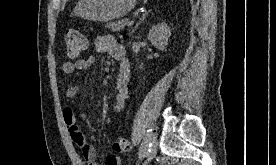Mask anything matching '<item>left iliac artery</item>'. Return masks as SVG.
Instances as JSON below:
<instances>
[{
	"instance_id": "44dca946",
	"label": "left iliac artery",
	"mask_w": 276,
	"mask_h": 165,
	"mask_svg": "<svg viewBox=\"0 0 276 165\" xmlns=\"http://www.w3.org/2000/svg\"><path fill=\"white\" fill-rule=\"evenodd\" d=\"M147 135L144 138L143 142L141 143V146L139 148V153H138V157L139 159L143 158L145 156V154L147 153L148 149H149V142H148V138L149 135L151 133V131H147Z\"/></svg>"
}]
</instances>
